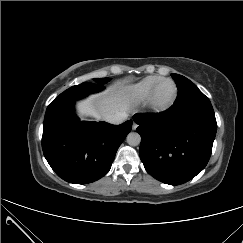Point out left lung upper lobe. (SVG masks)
<instances>
[{"label":"left lung upper lobe","instance_id":"5c2ea615","mask_svg":"<svg viewBox=\"0 0 243 243\" xmlns=\"http://www.w3.org/2000/svg\"><path fill=\"white\" fill-rule=\"evenodd\" d=\"M176 82L178 90L186 89V96L182 98L184 103V111L187 114L199 116H215L213 107L209 99L192 83L189 79L182 75H171Z\"/></svg>","mask_w":243,"mask_h":243}]
</instances>
